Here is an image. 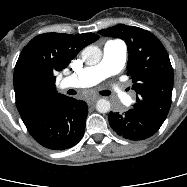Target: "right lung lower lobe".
Wrapping results in <instances>:
<instances>
[{
	"mask_svg": "<svg viewBox=\"0 0 187 187\" xmlns=\"http://www.w3.org/2000/svg\"><path fill=\"white\" fill-rule=\"evenodd\" d=\"M87 113L84 101L66 97L24 124L42 146L64 150L76 145L83 137Z\"/></svg>",
	"mask_w": 187,
	"mask_h": 187,
	"instance_id": "obj_1",
	"label": "right lung lower lobe"
}]
</instances>
